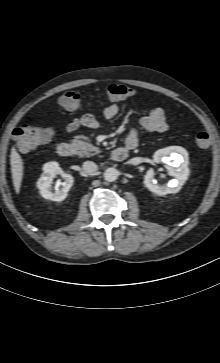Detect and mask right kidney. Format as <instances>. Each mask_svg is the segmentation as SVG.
I'll list each match as a JSON object with an SVG mask.
<instances>
[{"label":"right kidney","mask_w":220,"mask_h":363,"mask_svg":"<svg viewBox=\"0 0 220 363\" xmlns=\"http://www.w3.org/2000/svg\"><path fill=\"white\" fill-rule=\"evenodd\" d=\"M61 175L65 181L57 180L55 185V191H51L53 179ZM74 179L71 175L64 173L56 162H49L43 166V174L37 181V187L40 190V194L43 198L52 201H62L66 198L68 191L73 185ZM62 186V188H59Z\"/></svg>","instance_id":"obj_1"}]
</instances>
